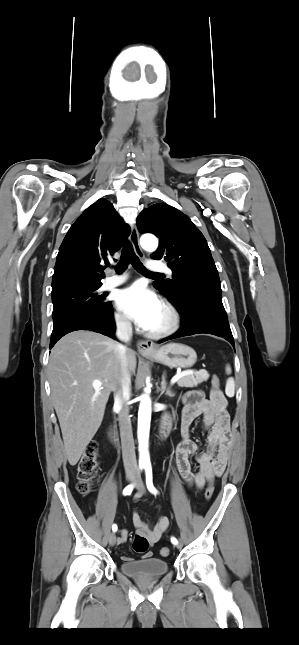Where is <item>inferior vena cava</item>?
<instances>
[{
	"label": "inferior vena cava",
	"mask_w": 299,
	"mask_h": 645,
	"mask_svg": "<svg viewBox=\"0 0 299 645\" xmlns=\"http://www.w3.org/2000/svg\"><path fill=\"white\" fill-rule=\"evenodd\" d=\"M116 336L125 344H117L116 354L120 362L121 369V387L114 396L115 406L119 408L118 420L120 425V437L122 445V457L126 471L137 473L138 466L135 455V446L132 433L131 419L129 416V407L127 401L130 398L131 379L127 364V345L132 338L131 322L126 317L116 319Z\"/></svg>",
	"instance_id": "inferior-vena-cava-1"
}]
</instances>
